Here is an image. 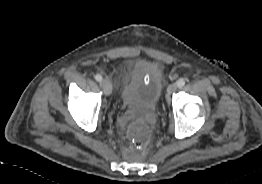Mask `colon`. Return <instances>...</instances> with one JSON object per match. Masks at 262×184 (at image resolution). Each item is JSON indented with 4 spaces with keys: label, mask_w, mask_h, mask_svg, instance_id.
Instances as JSON below:
<instances>
[{
    "label": "colon",
    "mask_w": 262,
    "mask_h": 184,
    "mask_svg": "<svg viewBox=\"0 0 262 184\" xmlns=\"http://www.w3.org/2000/svg\"><path fill=\"white\" fill-rule=\"evenodd\" d=\"M134 131H135V136L132 140L134 147L137 150L145 149L147 146V136H148V132L146 128L142 125H139L134 128Z\"/></svg>",
    "instance_id": "1"
}]
</instances>
